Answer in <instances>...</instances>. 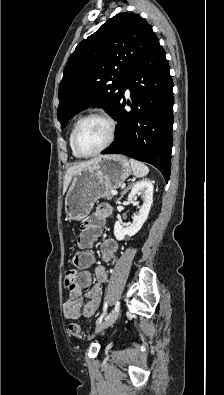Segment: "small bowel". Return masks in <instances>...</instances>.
<instances>
[{
	"label": "small bowel",
	"instance_id": "c3829d8e",
	"mask_svg": "<svg viewBox=\"0 0 224 395\" xmlns=\"http://www.w3.org/2000/svg\"><path fill=\"white\" fill-rule=\"evenodd\" d=\"M111 213V208L100 205L96 213L92 215L84 224L80 233L78 244L81 251H78L72 258L73 263L81 269L77 274V281L74 289L71 290L69 299L63 305L64 316L67 319H77L81 312L84 317L90 318L97 311L102 297L101 284L107 280V264H115L118 260V244L112 239H106L101 244L102 264L96 266L94 275L96 284L91 286L92 275L87 270L95 262V256L90 248L100 237L107 217ZM91 286V287H90ZM89 288L84 303L82 292Z\"/></svg>",
	"mask_w": 224,
	"mask_h": 395
}]
</instances>
